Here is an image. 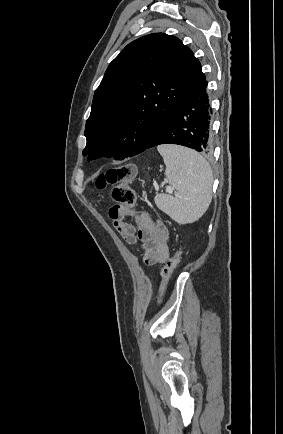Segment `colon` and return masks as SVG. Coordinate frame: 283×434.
I'll return each instance as SVG.
<instances>
[{"label": "colon", "mask_w": 283, "mask_h": 434, "mask_svg": "<svg viewBox=\"0 0 283 434\" xmlns=\"http://www.w3.org/2000/svg\"><path fill=\"white\" fill-rule=\"evenodd\" d=\"M135 175V165H121L100 174L95 181V187L98 190L110 187L111 197L117 204L133 208L136 204L137 197L135 191L131 187V183L133 182ZM180 258L181 250L180 248H177L162 268L159 299L164 296L168 282L179 264Z\"/></svg>", "instance_id": "5ec220e1"}]
</instances>
